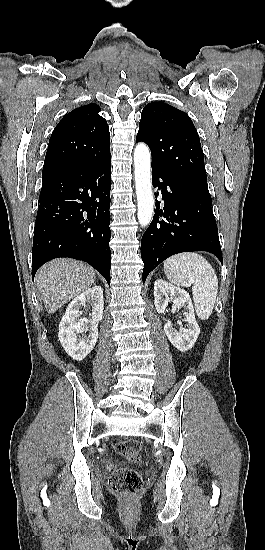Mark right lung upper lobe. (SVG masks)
Here are the masks:
<instances>
[{
    "label": "right lung upper lobe",
    "mask_w": 265,
    "mask_h": 550,
    "mask_svg": "<svg viewBox=\"0 0 265 550\" xmlns=\"http://www.w3.org/2000/svg\"><path fill=\"white\" fill-rule=\"evenodd\" d=\"M100 107L88 104L66 114L55 127L45 156L42 179L90 167L110 158V133Z\"/></svg>",
    "instance_id": "obj_1"
}]
</instances>
